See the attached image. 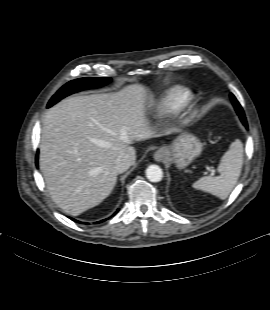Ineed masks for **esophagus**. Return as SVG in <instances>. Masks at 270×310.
I'll use <instances>...</instances> for the list:
<instances>
[{
    "label": "esophagus",
    "mask_w": 270,
    "mask_h": 310,
    "mask_svg": "<svg viewBox=\"0 0 270 310\" xmlns=\"http://www.w3.org/2000/svg\"><path fill=\"white\" fill-rule=\"evenodd\" d=\"M153 157H154V160L157 162L164 161L168 157V150L162 147L154 153Z\"/></svg>",
    "instance_id": "obj_1"
}]
</instances>
